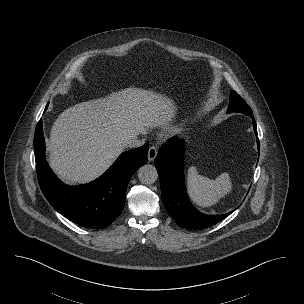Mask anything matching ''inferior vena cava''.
Masks as SVG:
<instances>
[{
  "mask_svg": "<svg viewBox=\"0 0 304 304\" xmlns=\"http://www.w3.org/2000/svg\"><path fill=\"white\" fill-rule=\"evenodd\" d=\"M139 132L132 133L126 140L125 145L130 148H137L140 147L143 144V140H138L137 136L139 135ZM143 134V133H142Z\"/></svg>",
  "mask_w": 304,
  "mask_h": 304,
  "instance_id": "602c4592",
  "label": "inferior vena cava"
}]
</instances>
